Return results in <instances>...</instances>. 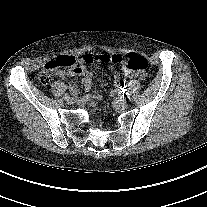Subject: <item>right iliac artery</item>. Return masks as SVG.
<instances>
[{
  "mask_svg": "<svg viewBox=\"0 0 207 207\" xmlns=\"http://www.w3.org/2000/svg\"><path fill=\"white\" fill-rule=\"evenodd\" d=\"M65 100H68L70 98V95L69 94H65L64 97H63Z\"/></svg>",
  "mask_w": 207,
  "mask_h": 207,
  "instance_id": "82829eb1",
  "label": "right iliac artery"
}]
</instances>
